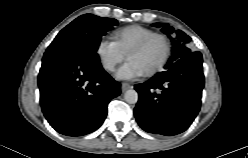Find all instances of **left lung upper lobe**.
Returning <instances> with one entry per match:
<instances>
[{"label": "left lung upper lobe", "mask_w": 248, "mask_h": 158, "mask_svg": "<svg viewBox=\"0 0 248 158\" xmlns=\"http://www.w3.org/2000/svg\"><path fill=\"white\" fill-rule=\"evenodd\" d=\"M155 27H161L162 32L167 34L172 42V56L167 62L165 69L171 67L175 61L178 59L189 55L191 50L188 48V44L191 41V38L186 35L181 30L174 31V29L166 23H155L153 24Z\"/></svg>", "instance_id": "1"}]
</instances>
